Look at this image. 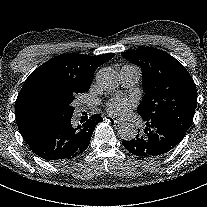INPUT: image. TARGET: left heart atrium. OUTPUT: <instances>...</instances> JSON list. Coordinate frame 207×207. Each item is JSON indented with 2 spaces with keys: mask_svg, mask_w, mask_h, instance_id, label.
Returning <instances> with one entry per match:
<instances>
[{
  "mask_svg": "<svg viewBox=\"0 0 207 207\" xmlns=\"http://www.w3.org/2000/svg\"><path fill=\"white\" fill-rule=\"evenodd\" d=\"M134 103L122 97H116L106 103L107 111L115 116L127 117L131 113Z\"/></svg>",
  "mask_w": 207,
  "mask_h": 207,
  "instance_id": "obj_1",
  "label": "left heart atrium"
}]
</instances>
